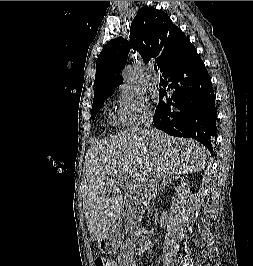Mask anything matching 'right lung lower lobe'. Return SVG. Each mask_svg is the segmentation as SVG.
<instances>
[{
    "label": "right lung lower lobe",
    "instance_id": "right-lung-lower-lobe-1",
    "mask_svg": "<svg viewBox=\"0 0 253 266\" xmlns=\"http://www.w3.org/2000/svg\"><path fill=\"white\" fill-rule=\"evenodd\" d=\"M168 89H174L167 103L160 90V101L153 118L154 126L176 137L193 138L213 154L217 138L215 95L207 69L193 48L184 58L162 72Z\"/></svg>",
    "mask_w": 253,
    "mask_h": 266
}]
</instances>
